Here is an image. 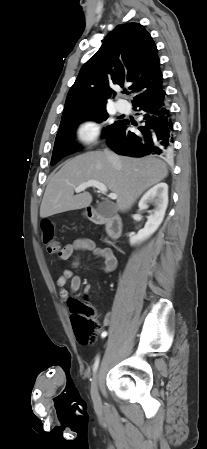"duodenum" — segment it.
Masks as SVG:
<instances>
[{"label":"duodenum","instance_id":"410a0bca","mask_svg":"<svg viewBox=\"0 0 207 449\" xmlns=\"http://www.w3.org/2000/svg\"><path fill=\"white\" fill-rule=\"evenodd\" d=\"M88 219L96 225H106L109 236L112 240L121 237L123 231L122 219L118 215L103 216L95 208L90 207L87 212Z\"/></svg>","mask_w":207,"mask_h":449}]
</instances>
